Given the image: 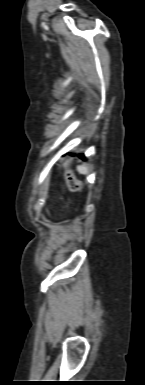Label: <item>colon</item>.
<instances>
[{"instance_id": "1", "label": "colon", "mask_w": 145, "mask_h": 385, "mask_svg": "<svg viewBox=\"0 0 145 385\" xmlns=\"http://www.w3.org/2000/svg\"><path fill=\"white\" fill-rule=\"evenodd\" d=\"M65 183L67 188L72 192H79L83 189V183L75 177L67 163L65 164ZM69 203L70 200L67 198V204Z\"/></svg>"}]
</instances>
